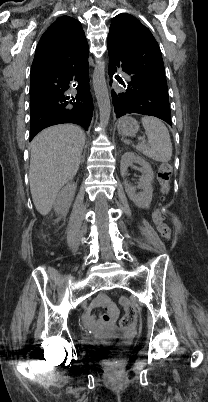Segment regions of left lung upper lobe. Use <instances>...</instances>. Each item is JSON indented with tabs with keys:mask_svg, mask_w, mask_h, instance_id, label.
<instances>
[{
	"mask_svg": "<svg viewBox=\"0 0 208 402\" xmlns=\"http://www.w3.org/2000/svg\"><path fill=\"white\" fill-rule=\"evenodd\" d=\"M109 36L130 50L132 75L168 95L161 50L150 30L134 16L121 13L113 19Z\"/></svg>",
	"mask_w": 208,
	"mask_h": 402,
	"instance_id": "obj_1",
	"label": "left lung upper lobe"
}]
</instances>
